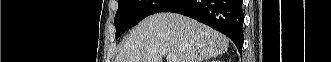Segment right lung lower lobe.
I'll use <instances>...</instances> for the list:
<instances>
[{"instance_id":"obj_1","label":"right lung lower lobe","mask_w":331,"mask_h":62,"mask_svg":"<svg viewBox=\"0 0 331 62\" xmlns=\"http://www.w3.org/2000/svg\"><path fill=\"white\" fill-rule=\"evenodd\" d=\"M243 0H177L161 12H175L228 36L239 52L243 46Z\"/></svg>"}]
</instances>
